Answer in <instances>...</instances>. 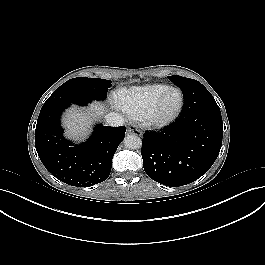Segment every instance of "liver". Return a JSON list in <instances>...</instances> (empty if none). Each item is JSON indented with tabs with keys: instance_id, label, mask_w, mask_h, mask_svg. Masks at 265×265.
<instances>
[{
	"instance_id": "obj_1",
	"label": "liver",
	"mask_w": 265,
	"mask_h": 265,
	"mask_svg": "<svg viewBox=\"0 0 265 265\" xmlns=\"http://www.w3.org/2000/svg\"><path fill=\"white\" fill-rule=\"evenodd\" d=\"M105 106L102 103L94 102L90 105L89 111L69 109L63 116V126L66 128V135L70 138H85L90 131V123L94 118L103 115Z\"/></svg>"
}]
</instances>
